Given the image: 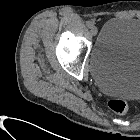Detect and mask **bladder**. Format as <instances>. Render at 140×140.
Wrapping results in <instances>:
<instances>
[{
    "label": "bladder",
    "mask_w": 140,
    "mask_h": 140,
    "mask_svg": "<svg viewBox=\"0 0 140 140\" xmlns=\"http://www.w3.org/2000/svg\"><path fill=\"white\" fill-rule=\"evenodd\" d=\"M90 69L99 87L120 98H140V18L107 21L90 53Z\"/></svg>",
    "instance_id": "31cf9c89"
}]
</instances>
